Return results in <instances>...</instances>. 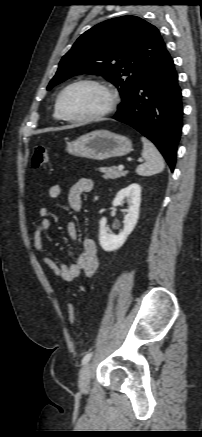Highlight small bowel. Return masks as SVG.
I'll list each match as a JSON object with an SVG mask.
<instances>
[{"mask_svg":"<svg viewBox=\"0 0 202 437\" xmlns=\"http://www.w3.org/2000/svg\"><path fill=\"white\" fill-rule=\"evenodd\" d=\"M93 188V182L89 178H80L69 189L67 203L70 209L74 212H80L83 208V196L90 192ZM62 194L60 185H52L48 190V196L51 199H57ZM41 218L33 235V243L36 250L42 254L43 264L49 268L53 274L66 282H71L81 276H92L98 268V248L97 244L92 239H85L82 243V251L78 253L74 261L70 264L62 263L49 254L45 248L43 233L49 230L52 226L50 219V209L41 207L39 209ZM68 236L72 241L77 238L76 224L71 221L67 225Z\"/></svg>","mask_w":202,"mask_h":437,"instance_id":"c3829d8e","label":"small bowel"}]
</instances>
